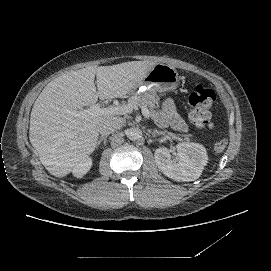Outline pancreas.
<instances>
[{
    "label": "pancreas",
    "mask_w": 271,
    "mask_h": 271,
    "mask_svg": "<svg viewBox=\"0 0 271 271\" xmlns=\"http://www.w3.org/2000/svg\"><path fill=\"white\" fill-rule=\"evenodd\" d=\"M158 101H159V97L156 92H145L140 95L134 94L130 96L128 99V104H131L132 106H136V107L147 106L150 110V113L154 114L155 113L154 109L156 108ZM166 133L169 136H171L172 139L174 140H179V141L183 140L181 137L177 136L176 134L172 132L164 131L163 135ZM184 140L189 141L190 139L188 137H185Z\"/></svg>",
    "instance_id": "obj_1"
}]
</instances>
